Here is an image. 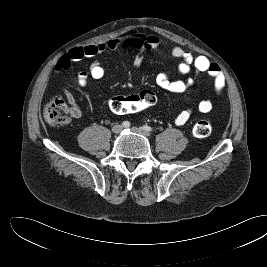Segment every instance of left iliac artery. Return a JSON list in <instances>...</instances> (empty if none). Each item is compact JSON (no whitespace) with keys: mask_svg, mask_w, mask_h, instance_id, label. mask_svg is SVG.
I'll use <instances>...</instances> for the list:
<instances>
[{"mask_svg":"<svg viewBox=\"0 0 267 267\" xmlns=\"http://www.w3.org/2000/svg\"><path fill=\"white\" fill-rule=\"evenodd\" d=\"M144 130H146V131H152L153 129L150 127V126H148V125H145V126H143L142 127Z\"/></svg>","mask_w":267,"mask_h":267,"instance_id":"obj_1","label":"left iliac artery"}]
</instances>
